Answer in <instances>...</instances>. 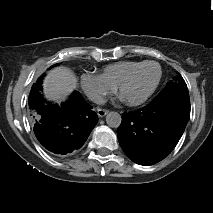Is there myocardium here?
I'll use <instances>...</instances> for the list:
<instances>
[{"label":"myocardium","instance_id":"1","mask_svg":"<svg viewBox=\"0 0 213 213\" xmlns=\"http://www.w3.org/2000/svg\"><path fill=\"white\" fill-rule=\"evenodd\" d=\"M145 65H154L157 67L158 70V74H157V78L156 81L153 85V87L151 88V90L142 98L138 99V100H132V101H123L126 102L127 105L129 106H138L141 105L143 103H145L156 91V89L158 88L160 82H161V78H162V68L161 66L155 62V61H143L140 62L138 65H136L135 67H133L118 83L116 89L117 92L119 94V96H121V90L122 88L130 81V79L133 77V75L143 66Z\"/></svg>","mask_w":213,"mask_h":213}]
</instances>
